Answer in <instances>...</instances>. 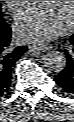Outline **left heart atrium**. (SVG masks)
<instances>
[{
    "label": "left heart atrium",
    "instance_id": "1",
    "mask_svg": "<svg viewBox=\"0 0 74 122\" xmlns=\"http://www.w3.org/2000/svg\"><path fill=\"white\" fill-rule=\"evenodd\" d=\"M68 26L54 6L43 5L19 15L14 30L22 42H45L63 34Z\"/></svg>",
    "mask_w": 74,
    "mask_h": 122
}]
</instances>
